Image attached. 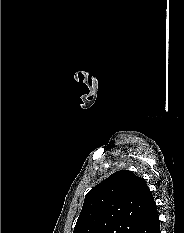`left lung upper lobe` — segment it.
Masks as SVG:
<instances>
[{
	"mask_svg": "<svg viewBox=\"0 0 184 233\" xmlns=\"http://www.w3.org/2000/svg\"><path fill=\"white\" fill-rule=\"evenodd\" d=\"M153 201L143 178L117 171L86 194L73 233H138Z\"/></svg>",
	"mask_w": 184,
	"mask_h": 233,
	"instance_id": "obj_1",
	"label": "left lung upper lobe"
}]
</instances>
